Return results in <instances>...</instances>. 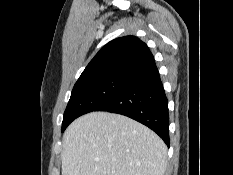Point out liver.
<instances>
[{
  "label": "liver",
  "instance_id": "1",
  "mask_svg": "<svg viewBox=\"0 0 233 175\" xmlns=\"http://www.w3.org/2000/svg\"><path fill=\"white\" fill-rule=\"evenodd\" d=\"M62 175H164L167 147L148 127L120 114L92 112L62 139Z\"/></svg>",
  "mask_w": 233,
  "mask_h": 175
}]
</instances>
